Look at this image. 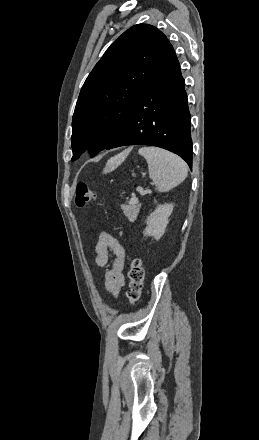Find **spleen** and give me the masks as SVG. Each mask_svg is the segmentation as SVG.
I'll return each mask as SVG.
<instances>
[{"label": "spleen", "instance_id": "1", "mask_svg": "<svg viewBox=\"0 0 259 440\" xmlns=\"http://www.w3.org/2000/svg\"><path fill=\"white\" fill-rule=\"evenodd\" d=\"M138 152L148 163L149 176L157 191L167 192L187 177V165L177 155L157 147H142Z\"/></svg>", "mask_w": 259, "mask_h": 440}]
</instances>
